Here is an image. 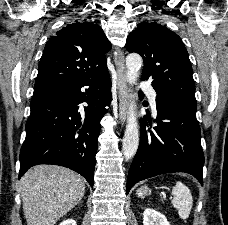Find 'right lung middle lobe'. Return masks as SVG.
I'll list each match as a JSON object with an SVG mask.
<instances>
[{"instance_id": "obj_1", "label": "right lung middle lobe", "mask_w": 228, "mask_h": 225, "mask_svg": "<svg viewBox=\"0 0 228 225\" xmlns=\"http://www.w3.org/2000/svg\"><path fill=\"white\" fill-rule=\"evenodd\" d=\"M54 89H57V88H41V89H34V95L40 94V93H43V92H47V91H50V90H54Z\"/></svg>"}]
</instances>
